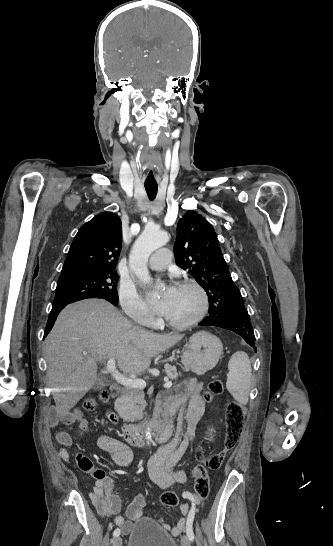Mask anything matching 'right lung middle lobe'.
Returning <instances> with one entry per match:
<instances>
[{
  "label": "right lung middle lobe",
  "mask_w": 333,
  "mask_h": 546,
  "mask_svg": "<svg viewBox=\"0 0 333 546\" xmlns=\"http://www.w3.org/2000/svg\"><path fill=\"white\" fill-rule=\"evenodd\" d=\"M118 274L112 271L73 272L60 275L53 305L86 298H110L118 301Z\"/></svg>",
  "instance_id": "1"
}]
</instances>
